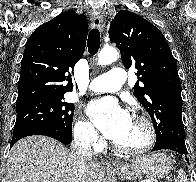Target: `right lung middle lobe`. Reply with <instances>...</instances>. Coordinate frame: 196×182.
Returning <instances> with one entry per match:
<instances>
[{
	"label": "right lung middle lobe",
	"mask_w": 196,
	"mask_h": 182,
	"mask_svg": "<svg viewBox=\"0 0 196 182\" xmlns=\"http://www.w3.org/2000/svg\"><path fill=\"white\" fill-rule=\"evenodd\" d=\"M14 133L34 126H50L72 134L74 105L64 96L43 97L16 104Z\"/></svg>",
	"instance_id": "obj_1"
}]
</instances>
